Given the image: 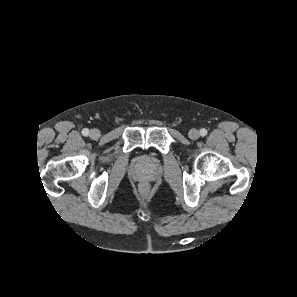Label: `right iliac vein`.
Segmentation results:
<instances>
[{
    "label": "right iliac vein",
    "instance_id": "right-iliac-vein-1",
    "mask_svg": "<svg viewBox=\"0 0 297 297\" xmlns=\"http://www.w3.org/2000/svg\"><path fill=\"white\" fill-rule=\"evenodd\" d=\"M89 136L91 139H98L100 137V131L98 129H91L89 132Z\"/></svg>",
    "mask_w": 297,
    "mask_h": 297
}]
</instances>
